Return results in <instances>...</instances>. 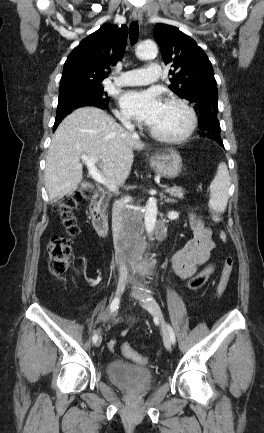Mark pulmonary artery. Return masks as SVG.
<instances>
[{
    "label": "pulmonary artery",
    "instance_id": "e3ab8cb5",
    "mask_svg": "<svg viewBox=\"0 0 264 433\" xmlns=\"http://www.w3.org/2000/svg\"><path fill=\"white\" fill-rule=\"evenodd\" d=\"M161 76V67L156 63H151L146 68L122 72L121 76L117 79V84L122 86L147 85L159 80Z\"/></svg>",
    "mask_w": 264,
    "mask_h": 433
}]
</instances>
